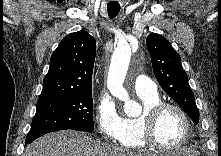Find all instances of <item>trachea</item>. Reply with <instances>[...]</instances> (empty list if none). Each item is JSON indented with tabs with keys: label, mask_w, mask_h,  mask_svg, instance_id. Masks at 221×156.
<instances>
[{
	"label": "trachea",
	"mask_w": 221,
	"mask_h": 156,
	"mask_svg": "<svg viewBox=\"0 0 221 156\" xmlns=\"http://www.w3.org/2000/svg\"><path fill=\"white\" fill-rule=\"evenodd\" d=\"M120 11V4L118 2H109L107 4L108 16L113 19L115 18Z\"/></svg>",
	"instance_id": "3493384b"
}]
</instances>
